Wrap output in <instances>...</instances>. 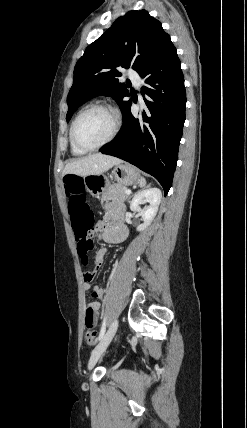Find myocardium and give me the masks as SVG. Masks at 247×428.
<instances>
[{"mask_svg":"<svg viewBox=\"0 0 247 428\" xmlns=\"http://www.w3.org/2000/svg\"><path fill=\"white\" fill-rule=\"evenodd\" d=\"M95 109H101V110L107 111L113 119V127H112V131H111L110 135L103 142H101L97 145H94V146H86V145L81 144L77 140L76 134H75V129H76L77 122L81 118V116H83L85 113H87L91 110H95ZM120 127H121V117H120V114L118 113V111L113 106H111L107 103H94V104L87 106L86 108L81 110L76 115L75 119L72 122L71 128H70V138H71L72 143L77 148L84 150V151H94V150H98V149L106 146L110 142H112L115 139V137L117 136V134L120 130Z\"/></svg>","mask_w":247,"mask_h":428,"instance_id":"myocardium-1","label":"myocardium"}]
</instances>
